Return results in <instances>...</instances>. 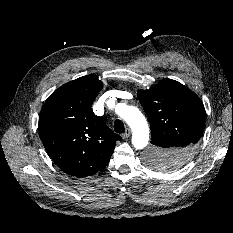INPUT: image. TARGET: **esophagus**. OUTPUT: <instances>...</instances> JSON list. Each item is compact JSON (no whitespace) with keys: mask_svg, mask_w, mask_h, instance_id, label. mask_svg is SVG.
Returning a JSON list of instances; mask_svg holds the SVG:
<instances>
[{"mask_svg":"<svg viewBox=\"0 0 233 233\" xmlns=\"http://www.w3.org/2000/svg\"><path fill=\"white\" fill-rule=\"evenodd\" d=\"M130 134H131V130L129 128H127L125 130V132L122 134V138H124V139L128 138L130 136Z\"/></svg>","mask_w":233,"mask_h":233,"instance_id":"1","label":"esophagus"}]
</instances>
